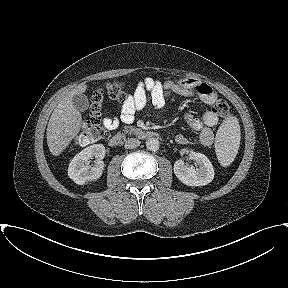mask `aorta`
Returning <instances> with one entry per match:
<instances>
[{"instance_id":"aorta-1","label":"aorta","mask_w":288,"mask_h":288,"mask_svg":"<svg viewBox=\"0 0 288 288\" xmlns=\"http://www.w3.org/2000/svg\"><path fill=\"white\" fill-rule=\"evenodd\" d=\"M160 143L156 138H149L146 140V147L150 151H156L159 149Z\"/></svg>"}]
</instances>
